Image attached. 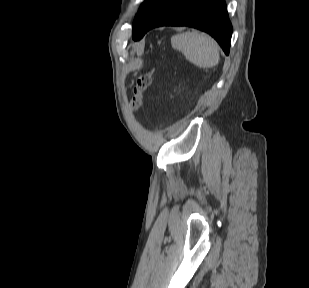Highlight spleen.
Listing matches in <instances>:
<instances>
[{
  "label": "spleen",
  "instance_id": "1",
  "mask_svg": "<svg viewBox=\"0 0 309 288\" xmlns=\"http://www.w3.org/2000/svg\"><path fill=\"white\" fill-rule=\"evenodd\" d=\"M174 49L182 52L185 58L199 68H212L220 60L216 41L205 33L185 32L171 40Z\"/></svg>",
  "mask_w": 309,
  "mask_h": 288
}]
</instances>
